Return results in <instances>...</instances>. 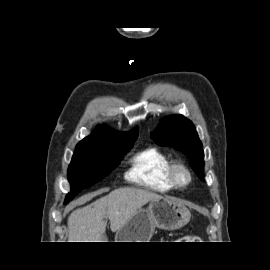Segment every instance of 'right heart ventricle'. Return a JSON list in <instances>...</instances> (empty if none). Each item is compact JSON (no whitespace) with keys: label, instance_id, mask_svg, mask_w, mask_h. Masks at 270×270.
I'll return each mask as SVG.
<instances>
[{"label":"right heart ventricle","instance_id":"right-heart-ventricle-1","mask_svg":"<svg viewBox=\"0 0 270 270\" xmlns=\"http://www.w3.org/2000/svg\"><path fill=\"white\" fill-rule=\"evenodd\" d=\"M171 159L156 147L135 153L129 162L126 179L148 190L166 193L175 189L168 175Z\"/></svg>","mask_w":270,"mask_h":270}]
</instances>
